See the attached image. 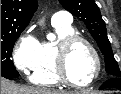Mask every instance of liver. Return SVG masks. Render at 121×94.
Segmentation results:
<instances>
[{"label":"liver","instance_id":"liver-1","mask_svg":"<svg viewBox=\"0 0 121 94\" xmlns=\"http://www.w3.org/2000/svg\"><path fill=\"white\" fill-rule=\"evenodd\" d=\"M1 94H89L88 92H65L44 88L21 86L1 77Z\"/></svg>","mask_w":121,"mask_h":94}]
</instances>
